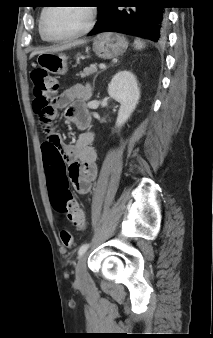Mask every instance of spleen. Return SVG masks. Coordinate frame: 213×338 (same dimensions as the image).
<instances>
[{"mask_svg": "<svg viewBox=\"0 0 213 338\" xmlns=\"http://www.w3.org/2000/svg\"><path fill=\"white\" fill-rule=\"evenodd\" d=\"M145 47V42L142 41L141 39L139 38H136L135 41H134V48L136 50H141Z\"/></svg>", "mask_w": 213, "mask_h": 338, "instance_id": "obj_1", "label": "spleen"}]
</instances>
